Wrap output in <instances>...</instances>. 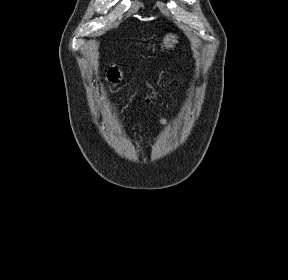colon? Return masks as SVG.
Masks as SVG:
<instances>
[{
  "instance_id": "1",
  "label": "colon",
  "mask_w": 288,
  "mask_h": 280,
  "mask_svg": "<svg viewBox=\"0 0 288 280\" xmlns=\"http://www.w3.org/2000/svg\"><path fill=\"white\" fill-rule=\"evenodd\" d=\"M108 80L115 84L120 80V72L117 69H112L108 74Z\"/></svg>"
}]
</instances>
